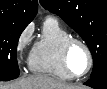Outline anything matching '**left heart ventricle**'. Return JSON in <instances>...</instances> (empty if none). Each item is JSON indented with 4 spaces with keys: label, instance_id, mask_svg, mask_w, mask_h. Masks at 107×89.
<instances>
[{
    "label": "left heart ventricle",
    "instance_id": "b2bd125f",
    "mask_svg": "<svg viewBox=\"0 0 107 89\" xmlns=\"http://www.w3.org/2000/svg\"><path fill=\"white\" fill-rule=\"evenodd\" d=\"M69 66L74 74H82L88 66V57L84 48L73 45L69 53Z\"/></svg>",
    "mask_w": 107,
    "mask_h": 89
}]
</instances>
